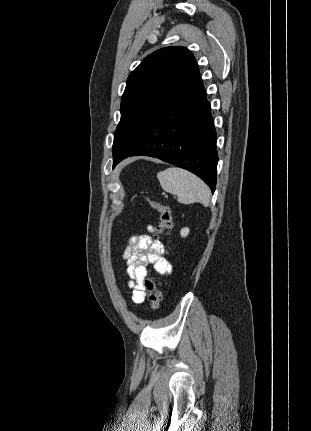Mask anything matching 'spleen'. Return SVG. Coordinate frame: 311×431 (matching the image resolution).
Segmentation results:
<instances>
[{"instance_id":"3e777b00","label":"spleen","mask_w":311,"mask_h":431,"mask_svg":"<svg viewBox=\"0 0 311 431\" xmlns=\"http://www.w3.org/2000/svg\"><path fill=\"white\" fill-rule=\"evenodd\" d=\"M157 180L164 192L177 196L180 204H194L199 202L203 206H209L210 190L200 178L181 170V168H167L157 174Z\"/></svg>"}]
</instances>
